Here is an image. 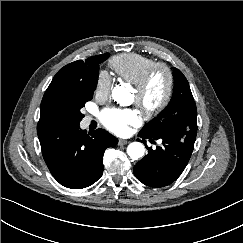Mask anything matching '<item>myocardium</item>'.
<instances>
[{
	"label": "myocardium",
	"instance_id": "myocardium-1",
	"mask_svg": "<svg viewBox=\"0 0 243 243\" xmlns=\"http://www.w3.org/2000/svg\"><path fill=\"white\" fill-rule=\"evenodd\" d=\"M162 70L166 75V85L161 96L151 103L144 101V94L152 74ZM133 89L136 94V104L147 116L152 115L162 109L170 100L174 90V73L172 69L163 62H155L147 67L140 77L133 83Z\"/></svg>",
	"mask_w": 243,
	"mask_h": 243
}]
</instances>
